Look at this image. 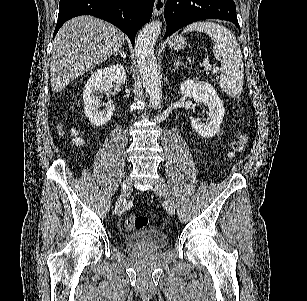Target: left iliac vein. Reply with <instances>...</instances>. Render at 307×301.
<instances>
[{
    "label": "left iliac vein",
    "mask_w": 307,
    "mask_h": 301,
    "mask_svg": "<svg viewBox=\"0 0 307 301\" xmlns=\"http://www.w3.org/2000/svg\"><path fill=\"white\" fill-rule=\"evenodd\" d=\"M155 192L162 195L163 199L166 202L167 208L171 213L176 212V205L174 198L171 196L169 189L163 179H159L158 183L155 186Z\"/></svg>",
    "instance_id": "left-iliac-vein-1"
}]
</instances>
